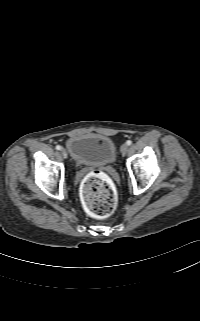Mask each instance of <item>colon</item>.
<instances>
[{"mask_svg": "<svg viewBox=\"0 0 200 321\" xmlns=\"http://www.w3.org/2000/svg\"><path fill=\"white\" fill-rule=\"evenodd\" d=\"M81 194L87 212L95 218H106L116 208L115 190L107 176L100 171L86 176L81 186Z\"/></svg>", "mask_w": 200, "mask_h": 321, "instance_id": "obj_1", "label": "colon"}]
</instances>
